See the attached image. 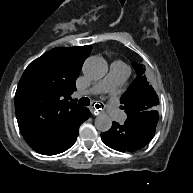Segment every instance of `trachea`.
<instances>
[{
    "instance_id": "obj_1",
    "label": "trachea",
    "mask_w": 193,
    "mask_h": 193,
    "mask_svg": "<svg viewBox=\"0 0 193 193\" xmlns=\"http://www.w3.org/2000/svg\"><path fill=\"white\" fill-rule=\"evenodd\" d=\"M78 103L80 104V105H82V106H89V104H90V100H89V98H87V97H82L81 99H79L78 100ZM101 104V103H100ZM102 104L101 105H99V104H96L95 105V107L97 108V109H99V108H102Z\"/></svg>"
}]
</instances>
